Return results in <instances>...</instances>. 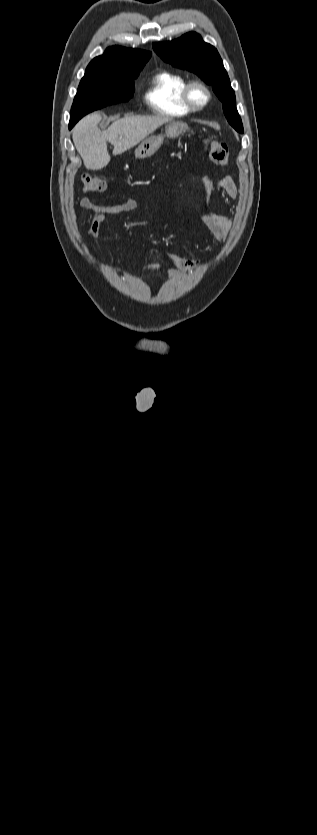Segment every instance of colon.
<instances>
[{
  "label": "colon",
  "instance_id": "5ec220e1",
  "mask_svg": "<svg viewBox=\"0 0 317 835\" xmlns=\"http://www.w3.org/2000/svg\"><path fill=\"white\" fill-rule=\"evenodd\" d=\"M208 154L210 160L220 166H225L228 163L229 151L226 144L217 141L213 138L207 139ZM84 190L90 193H101L107 188V183L104 179L86 174L82 177Z\"/></svg>",
  "mask_w": 317,
  "mask_h": 835
}]
</instances>
